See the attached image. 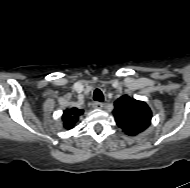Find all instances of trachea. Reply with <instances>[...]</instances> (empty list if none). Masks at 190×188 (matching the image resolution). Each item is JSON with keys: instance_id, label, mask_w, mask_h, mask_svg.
I'll return each instance as SVG.
<instances>
[{"instance_id": "1", "label": "trachea", "mask_w": 190, "mask_h": 188, "mask_svg": "<svg viewBox=\"0 0 190 188\" xmlns=\"http://www.w3.org/2000/svg\"><path fill=\"white\" fill-rule=\"evenodd\" d=\"M93 99L98 102H102L104 100L103 93L100 89H96L93 94Z\"/></svg>"}]
</instances>
